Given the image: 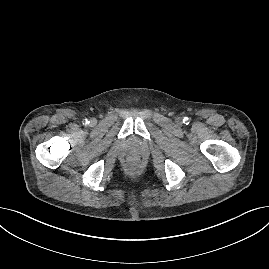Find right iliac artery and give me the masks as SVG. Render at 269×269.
<instances>
[{
  "instance_id": "1",
  "label": "right iliac artery",
  "mask_w": 269,
  "mask_h": 269,
  "mask_svg": "<svg viewBox=\"0 0 269 269\" xmlns=\"http://www.w3.org/2000/svg\"><path fill=\"white\" fill-rule=\"evenodd\" d=\"M83 123H84L85 125L89 124L88 119H85Z\"/></svg>"
}]
</instances>
